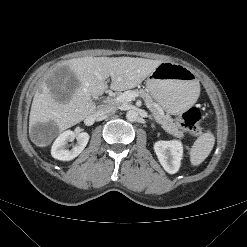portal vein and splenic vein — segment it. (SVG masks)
I'll return each mask as SVG.
<instances>
[{"mask_svg": "<svg viewBox=\"0 0 247 247\" xmlns=\"http://www.w3.org/2000/svg\"><path fill=\"white\" fill-rule=\"evenodd\" d=\"M137 95L131 91H126L123 94H121L120 96H118L115 100L117 102H128V101H132ZM147 108H150L149 105L146 103Z\"/></svg>", "mask_w": 247, "mask_h": 247, "instance_id": "18ae733b", "label": "portal vein and splenic vein"}]
</instances>
